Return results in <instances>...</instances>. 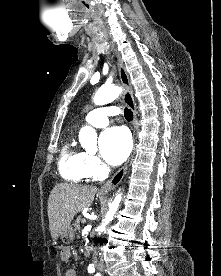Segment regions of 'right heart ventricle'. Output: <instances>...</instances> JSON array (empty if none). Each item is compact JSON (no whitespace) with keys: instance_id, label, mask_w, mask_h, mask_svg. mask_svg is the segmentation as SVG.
I'll use <instances>...</instances> for the list:
<instances>
[{"instance_id":"right-heart-ventricle-1","label":"right heart ventricle","mask_w":221,"mask_h":276,"mask_svg":"<svg viewBox=\"0 0 221 276\" xmlns=\"http://www.w3.org/2000/svg\"><path fill=\"white\" fill-rule=\"evenodd\" d=\"M61 176L71 182H81L88 177L85 169V153L77 149L71 137L65 141L59 159Z\"/></svg>"}]
</instances>
